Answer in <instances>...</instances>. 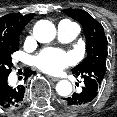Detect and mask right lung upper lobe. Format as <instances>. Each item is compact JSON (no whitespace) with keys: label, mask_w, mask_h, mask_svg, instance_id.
I'll return each instance as SVG.
<instances>
[{"label":"right lung upper lobe","mask_w":117,"mask_h":117,"mask_svg":"<svg viewBox=\"0 0 117 117\" xmlns=\"http://www.w3.org/2000/svg\"><path fill=\"white\" fill-rule=\"evenodd\" d=\"M34 14H8L0 18V47L19 46V36Z\"/></svg>","instance_id":"right-lung-upper-lobe-1"}]
</instances>
